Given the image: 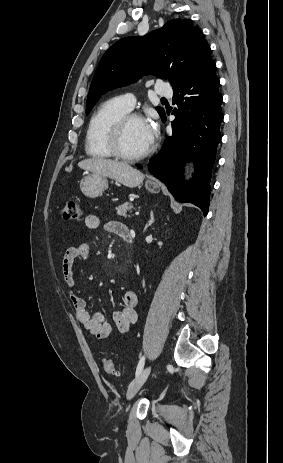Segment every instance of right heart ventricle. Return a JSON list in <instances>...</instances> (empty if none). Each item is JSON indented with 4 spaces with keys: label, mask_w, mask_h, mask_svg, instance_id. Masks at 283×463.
Here are the masks:
<instances>
[{
    "label": "right heart ventricle",
    "mask_w": 283,
    "mask_h": 463,
    "mask_svg": "<svg viewBox=\"0 0 283 463\" xmlns=\"http://www.w3.org/2000/svg\"><path fill=\"white\" fill-rule=\"evenodd\" d=\"M120 97L103 102L92 114L85 136V151L88 156L108 159L113 155L107 145V135L112 124L123 114L128 113Z\"/></svg>",
    "instance_id": "1"
}]
</instances>
